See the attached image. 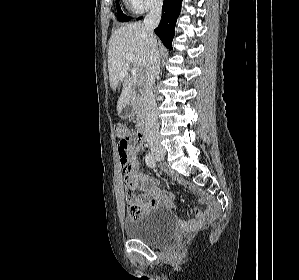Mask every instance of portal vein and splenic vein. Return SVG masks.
Instances as JSON below:
<instances>
[{"instance_id": "1", "label": "portal vein and splenic vein", "mask_w": 299, "mask_h": 280, "mask_svg": "<svg viewBox=\"0 0 299 280\" xmlns=\"http://www.w3.org/2000/svg\"><path fill=\"white\" fill-rule=\"evenodd\" d=\"M125 57H126V60H127V61H130V62H132V63L135 62V56H134L133 54H131V53H127V54L125 55ZM138 71H139V70L136 68V69H134L133 72H132V76H133V81H134V82L137 81ZM122 76H124V74H122Z\"/></svg>"}]
</instances>
